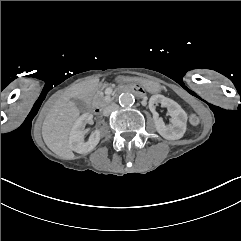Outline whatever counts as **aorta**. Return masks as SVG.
Returning a JSON list of instances; mask_svg holds the SVG:
<instances>
[{
  "instance_id": "762f6f07",
  "label": "aorta",
  "mask_w": 241,
  "mask_h": 241,
  "mask_svg": "<svg viewBox=\"0 0 241 241\" xmlns=\"http://www.w3.org/2000/svg\"><path fill=\"white\" fill-rule=\"evenodd\" d=\"M134 102L135 98L131 93L126 92L119 96V104L121 106H132Z\"/></svg>"
}]
</instances>
